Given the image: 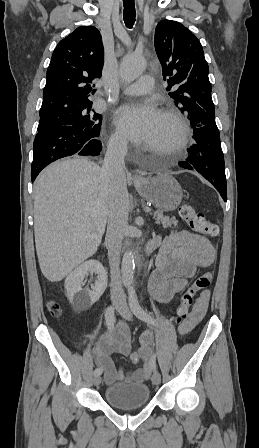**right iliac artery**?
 Returning <instances> with one entry per match:
<instances>
[{
	"instance_id": "1",
	"label": "right iliac artery",
	"mask_w": 259,
	"mask_h": 448,
	"mask_svg": "<svg viewBox=\"0 0 259 448\" xmlns=\"http://www.w3.org/2000/svg\"><path fill=\"white\" fill-rule=\"evenodd\" d=\"M105 320H106V325L108 327V330L110 332H112L114 329V324H115V320H116L113 306H109L107 308L106 313H105ZM102 371H103L102 368H96L94 371V375H101Z\"/></svg>"
}]
</instances>
